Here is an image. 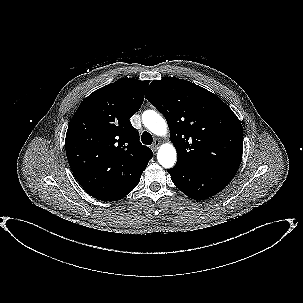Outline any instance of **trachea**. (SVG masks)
<instances>
[{
  "label": "trachea",
  "instance_id": "1",
  "mask_svg": "<svg viewBox=\"0 0 303 303\" xmlns=\"http://www.w3.org/2000/svg\"><path fill=\"white\" fill-rule=\"evenodd\" d=\"M141 141L143 142V144L145 145H151L153 142V137L149 132H144L141 136Z\"/></svg>",
  "mask_w": 303,
  "mask_h": 303
}]
</instances>
